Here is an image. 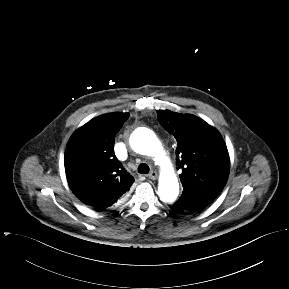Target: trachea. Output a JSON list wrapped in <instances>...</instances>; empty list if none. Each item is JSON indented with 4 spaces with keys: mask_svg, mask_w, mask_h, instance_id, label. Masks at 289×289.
Segmentation results:
<instances>
[{
    "mask_svg": "<svg viewBox=\"0 0 289 289\" xmlns=\"http://www.w3.org/2000/svg\"><path fill=\"white\" fill-rule=\"evenodd\" d=\"M150 171V168L147 164L145 163H141L139 166H138V172L140 174H148Z\"/></svg>",
    "mask_w": 289,
    "mask_h": 289,
    "instance_id": "trachea-1",
    "label": "trachea"
}]
</instances>
